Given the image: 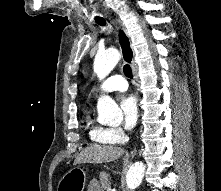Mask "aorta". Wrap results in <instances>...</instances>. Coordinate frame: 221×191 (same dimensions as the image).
<instances>
[{
  "label": "aorta",
  "instance_id": "aorta-1",
  "mask_svg": "<svg viewBox=\"0 0 221 191\" xmlns=\"http://www.w3.org/2000/svg\"><path fill=\"white\" fill-rule=\"evenodd\" d=\"M120 59L117 49L109 48L97 53L94 59V72L99 79L105 78L116 66ZM99 119L108 124L118 123L122 119V111L116 102L109 96H102L97 103ZM145 173L143 162L132 164L126 174V184L129 189H136L142 182Z\"/></svg>",
  "mask_w": 221,
  "mask_h": 191
}]
</instances>
